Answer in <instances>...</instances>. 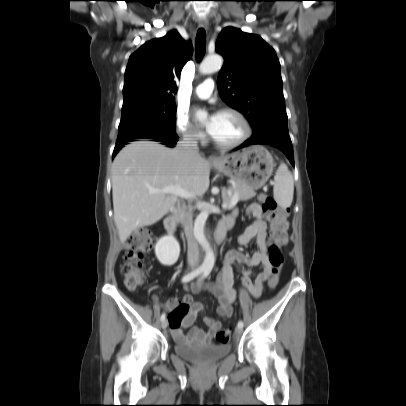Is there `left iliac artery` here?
Returning a JSON list of instances; mask_svg holds the SVG:
<instances>
[{"label":"left iliac artery","mask_w":406,"mask_h":406,"mask_svg":"<svg viewBox=\"0 0 406 406\" xmlns=\"http://www.w3.org/2000/svg\"><path fill=\"white\" fill-rule=\"evenodd\" d=\"M210 271H211V269L207 268V269L203 272V275L201 276L200 279L206 278V277L209 275ZM243 325H244V324H243L242 321H239V322H238V327L243 328Z\"/></svg>","instance_id":"left-iliac-artery-1"}]
</instances>
